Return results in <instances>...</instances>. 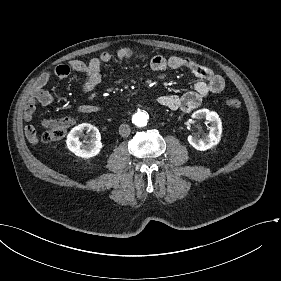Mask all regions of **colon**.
Instances as JSON below:
<instances>
[{"label": "colon", "mask_w": 281, "mask_h": 281, "mask_svg": "<svg viewBox=\"0 0 281 281\" xmlns=\"http://www.w3.org/2000/svg\"><path fill=\"white\" fill-rule=\"evenodd\" d=\"M226 103L231 108H238L241 104L240 100L235 97L227 98ZM69 125L70 122L68 119L53 122L45 131L44 142H53L62 139L65 136Z\"/></svg>", "instance_id": "5ec220e1"}]
</instances>
